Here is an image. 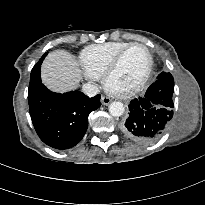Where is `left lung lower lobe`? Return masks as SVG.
Wrapping results in <instances>:
<instances>
[{
    "label": "left lung lower lobe",
    "mask_w": 205,
    "mask_h": 205,
    "mask_svg": "<svg viewBox=\"0 0 205 205\" xmlns=\"http://www.w3.org/2000/svg\"><path fill=\"white\" fill-rule=\"evenodd\" d=\"M173 100L164 89H148L144 97L131 100L129 116L122 124L131 140L148 144L160 138L173 117Z\"/></svg>",
    "instance_id": "left-lung-lower-lobe-1"
}]
</instances>
